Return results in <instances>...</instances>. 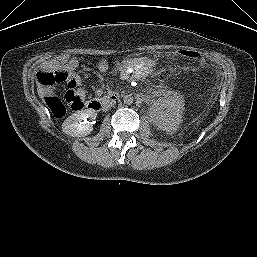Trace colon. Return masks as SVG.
<instances>
[{
  "instance_id": "1",
  "label": "colon",
  "mask_w": 257,
  "mask_h": 257,
  "mask_svg": "<svg viewBox=\"0 0 257 257\" xmlns=\"http://www.w3.org/2000/svg\"><path fill=\"white\" fill-rule=\"evenodd\" d=\"M179 53L182 57L192 61H197L201 57L200 52L194 49H181ZM37 79L40 85L44 87H51L56 83L62 82L64 76L58 70H40L37 74ZM75 87L76 86H72L71 89L66 92L65 102L72 109L79 110L84 105L85 94L83 90ZM44 101L55 117L61 118L65 115L66 107L58 97L49 93L44 96Z\"/></svg>"
}]
</instances>
